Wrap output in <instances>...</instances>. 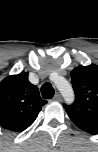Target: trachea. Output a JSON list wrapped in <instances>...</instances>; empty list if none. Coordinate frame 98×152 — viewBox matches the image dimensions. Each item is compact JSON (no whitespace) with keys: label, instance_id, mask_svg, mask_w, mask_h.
<instances>
[{"label":"trachea","instance_id":"1","mask_svg":"<svg viewBox=\"0 0 98 152\" xmlns=\"http://www.w3.org/2000/svg\"><path fill=\"white\" fill-rule=\"evenodd\" d=\"M54 88L50 83H44L41 87V94L44 99H51L54 96Z\"/></svg>","mask_w":98,"mask_h":152}]
</instances>
